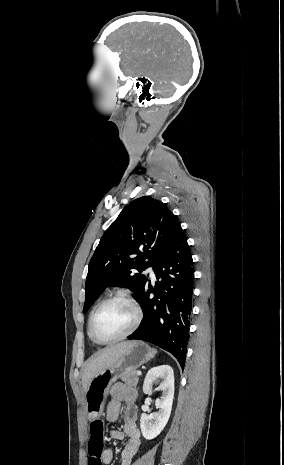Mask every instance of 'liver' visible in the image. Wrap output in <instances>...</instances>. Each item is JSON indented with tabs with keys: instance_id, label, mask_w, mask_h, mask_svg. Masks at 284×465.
<instances>
[{
	"instance_id": "1",
	"label": "liver",
	"mask_w": 284,
	"mask_h": 465,
	"mask_svg": "<svg viewBox=\"0 0 284 465\" xmlns=\"http://www.w3.org/2000/svg\"><path fill=\"white\" fill-rule=\"evenodd\" d=\"M130 345V341H124V343H117L113 347H107L104 349L100 355H95L89 359L84 371L82 373V387L83 391H87L88 383L91 379L104 371V369H109L113 367L117 361H119L121 355L127 351Z\"/></svg>"
}]
</instances>
